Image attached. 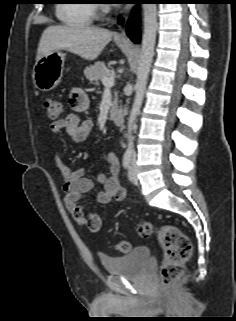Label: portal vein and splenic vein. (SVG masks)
Instances as JSON below:
<instances>
[{"label":"portal vein and splenic vein","instance_id":"obj_1","mask_svg":"<svg viewBox=\"0 0 236 321\" xmlns=\"http://www.w3.org/2000/svg\"><path fill=\"white\" fill-rule=\"evenodd\" d=\"M114 82H115V80H114V77H113V76L104 77V78L102 79V83H103V85L106 86V87H111V86H113V85H114Z\"/></svg>","mask_w":236,"mask_h":321}]
</instances>
